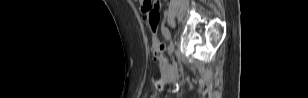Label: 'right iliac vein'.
<instances>
[{
    "instance_id": "obj_1",
    "label": "right iliac vein",
    "mask_w": 308,
    "mask_h": 98,
    "mask_svg": "<svg viewBox=\"0 0 308 98\" xmlns=\"http://www.w3.org/2000/svg\"><path fill=\"white\" fill-rule=\"evenodd\" d=\"M173 50H174V45L171 42L170 45H169V49H168V52H169L170 55L173 53Z\"/></svg>"
}]
</instances>
